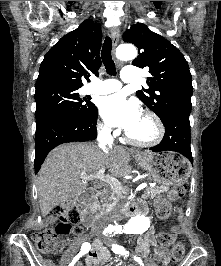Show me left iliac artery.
<instances>
[{
    "label": "left iliac artery",
    "mask_w": 221,
    "mask_h": 266,
    "mask_svg": "<svg viewBox=\"0 0 221 266\" xmlns=\"http://www.w3.org/2000/svg\"><path fill=\"white\" fill-rule=\"evenodd\" d=\"M112 251L114 253H120L121 255H124L125 257L129 255L128 251L122 246H119L117 244L112 245ZM134 260L138 262L140 265L144 266L142 260L140 257L134 256Z\"/></svg>",
    "instance_id": "obj_1"
}]
</instances>
